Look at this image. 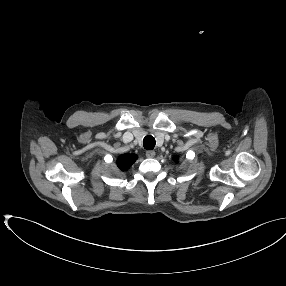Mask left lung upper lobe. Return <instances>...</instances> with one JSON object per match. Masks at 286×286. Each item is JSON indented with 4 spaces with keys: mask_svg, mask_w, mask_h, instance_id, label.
I'll use <instances>...</instances> for the list:
<instances>
[{
    "mask_svg": "<svg viewBox=\"0 0 286 286\" xmlns=\"http://www.w3.org/2000/svg\"><path fill=\"white\" fill-rule=\"evenodd\" d=\"M174 160H175V161H177V160H178V157H177V156H175V157H174Z\"/></svg>",
    "mask_w": 286,
    "mask_h": 286,
    "instance_id": "left-lung-upper-lobe-1",
    "label": "left lung upper lobe"
}]
</instances>
